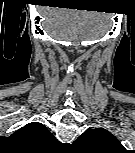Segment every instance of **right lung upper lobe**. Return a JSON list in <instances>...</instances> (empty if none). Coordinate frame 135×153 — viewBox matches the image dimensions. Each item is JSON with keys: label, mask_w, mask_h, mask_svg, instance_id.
Here are the masks:
<instances>
[{"label": "right lung upper lobe", "mask_w": 135, "mask_h": 153, "mask_svg": "<svg viewBox=\"0 0 135 153\" xmlns=\"http://www.w3.org/2000/svg\"><path fill=\"white\" fill-rule=\"evenodd\" d=\"M12 136L19 138L32 146L43 147L57 140L41 123L32 122L16 131Z\"/></svg>", "instance_id": "obj_1"}]
</instances>
